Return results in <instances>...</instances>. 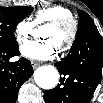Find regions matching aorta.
Segmentation results:
<instances>
[{
  "label": "aorta",
  "instance_id": "obj_1",
  "mask_svg": "<svg viewBox=\"0 0 103 103\" xmlns=\"http://www.w3.org/2000/svg\"><path fill=\"white\" fill-rule=\"evenodd\" d=\"M36 84L43 89H52L58 84L59 73L52 65L39 67L34 72Z\"/></svg>",
  "mask_w": 103,
  "mask_h": 103
}]
</instances>
